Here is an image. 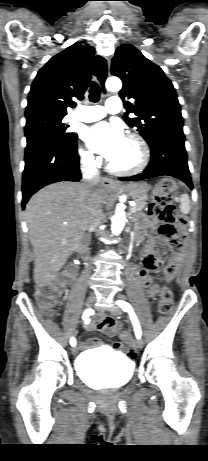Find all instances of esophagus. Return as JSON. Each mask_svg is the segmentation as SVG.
<instances>
[{
    "label": "esophagus",
    "mask_w": 208,
    "mask_h": 461,
    "mask_svg": "<svg viewBox=\"0 0 208 461\" xmlns=\"http://www.w3.org/2000/svg\"><path fill=\"white\" fill-rule=\"evenodd\" d=\"M100 58H101V63H102V71L105 73L104 78H103L102 82H100V83H101V86L104 87L105 81H106V79H107V77L109 75L110 62H109L108 58H102V57H100ZM95 66H96V61H95L94 69H95ZM102 185L104 187H106V188H114V187H116L118 185V183L114 179H110L108 177H103L102 178Z\"/></svg>",
    "instance_id": "34e87169"
}]
</instances>
